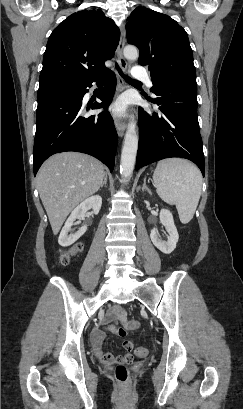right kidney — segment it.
Listing matches in <instances>:
<instances>
[{
  "instance_id": "ca27d5eb",
  "label": "right kidney",
  "mask_w": 243,
  "mask_h": 409,
  "mask_svg": "<svg viewBox=\"0 0 243 409\" xmlns=\"http://www.w3.org/2000/svg\"><path fill=\"white\" fill-rule=\"evenodd\" d=\"M102 205V198L99 195L91 196L80 203L70 214L69 218L65 222L64 227L61 230V233L58 238V243L67 247L77 241L87 230V226H82L75 234H68L71 230V227L76 219L83 218L85 213L93 209L94 214H98Z\"/></svg>"
}]
</instances>
